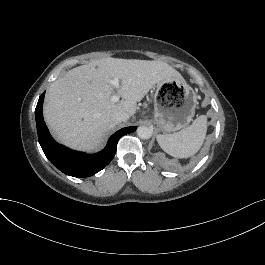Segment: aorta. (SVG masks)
Segmentation results:
<instances>
[{
    "mask_svg": "<svg viewBox=\"0 0 265 265\" xmlns=\"http://www.w3.org/2000/svg\"><path fill=\"white\" fill-rule=\"evenodd\" d=\"M153 130L147 126H140L137 129V134L141 139H149L151 138Z\"/></svg>",
    "mask_w": 265,
    "mask_h": 265,
    "instance_id": "obj_1",
    "label": "aorta"
}]
</instances>
